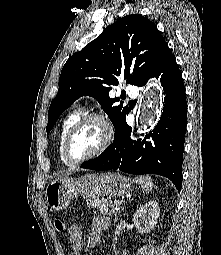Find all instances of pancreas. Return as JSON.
Wrapping results in <instances>:
<instances>
[{
	"label": "pancreas",
	"instance_id": "pancreas-1",
	"mask_svg": "<svg viewBox=\"0 0 221 255\" xmlns=\"http://www.w3.org/2000/svg\"><path fill=\"white\" fill-rule=\"evenodd\" d=\"M119 204L120 201L111 200V198H100L90 202V205L99 210L103 215H111L115 213L114 208Z\"/></svg>",
	"mask_w": 221,
	"mask_h": 255
}]
</instances>
